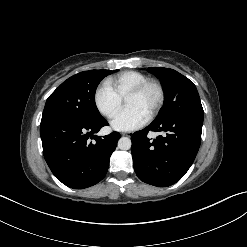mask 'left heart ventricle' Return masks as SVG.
Wrapping results in <instances>:
<instances>
[{"instance_id":"b2bd125f","label":"left heart ventricle","mask_w":247,"mask_h":247,"mask_svg":"<svg viewBox=\"0 0 247 247\" xmlns=\"http://www.w3.org/2000/svg\"><path fill=\"white\" fill-rule=\"evenodd\" d=\"M158 98L157 90L149 87L142 94L135 97H129L125 100L126 107H137L149 115Z\"/></svg>"}]
</instances>
